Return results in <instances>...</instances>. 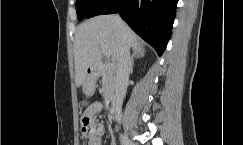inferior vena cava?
<instances>
[{
    "instance_id": "obj_1",
    "label": "inferior vena cava",
    "mask_w": 243,
    "mask_h": 145,
    "mask_svg": "<svg viewBox=\"0 0 243 145\" xmlns=\"http://www.w3.org/2000/svg\"><path fill=\"white\" fill-rule=\"evenodd\" d=\"M117 19L121 23L120 17L117 16ZM132 67L133 64L130 57V46L124 41L119 52L115 76L116 112L118 117L121 113V105L127 91L129 75L132 71Z\"/></svg>"
}]
</instances>
